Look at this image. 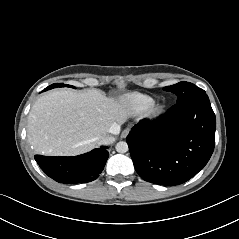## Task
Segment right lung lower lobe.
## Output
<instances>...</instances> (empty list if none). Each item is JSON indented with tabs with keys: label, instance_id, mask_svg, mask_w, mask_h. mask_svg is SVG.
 I'll return each instance as SVG.
<instances>
[{
	"label": "right lung lower lobe",
	"instance_id": "right-lung-lower-lobe-1",
	"mask_svg": "<svg viewBox=\"0 0 239 239\" xmlns=\"http://www.w3.org/2000/svg\"><path fill=\"white\" fill-rule=\"evenodd\" d=\"M109 153L100 147L75 157H48L36 155L35 160L50 178L60 183L76 184L91 182L104 169Z\"/></svg>",
	"mask_w": 239,
	"mask_h": 239
}]
</instances>
